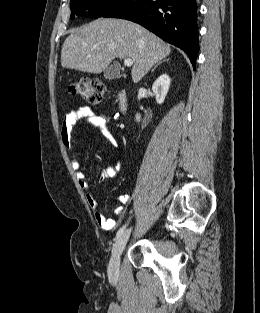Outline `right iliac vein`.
Listing matches in <instances>:
<instances>
[{"label":"right iliac vein","mask_w":260,"mask_h":313,"mask_svg":"<svg viewBox=\"0 0 260 313\" xmlns=\"http://www.w3.org/2000/svg\"><path fill=\"white\" fill-rule=\"evenodd\" d=\"M130 231V229L124 231L123 234L118 237L113 246L111 259L108 266V274L112 279H116L119 275L120 255L126 246Z\"/></svg>","instance_id":"63e3f726"}]
</instances>
